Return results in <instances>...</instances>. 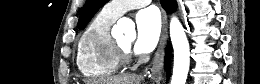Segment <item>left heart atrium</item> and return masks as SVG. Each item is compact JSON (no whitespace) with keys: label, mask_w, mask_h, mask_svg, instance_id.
Listing matches in <instances>:
<instances>
[{"label":"left heart atrium","mask_w":260,"mask_h":84,"mask_svg":"<svg viewBox=\"0 0 260 84\" xmlns=\"http://www.w3.org/2000/svg\"><path fill=\"white\" fill-rule=\"evenodd\" d=\"M137 40L135 50L138 53H149L157 45L161 34V18L156 8L141 10L136 16Z\"/></svg>","instance_id":"1"}]
</instances>
